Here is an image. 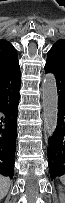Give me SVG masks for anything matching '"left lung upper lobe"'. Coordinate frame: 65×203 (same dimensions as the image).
Here are the masks:
<instances>
[{
  "instance_id": "1",
  "label": "left lung upper lobe",
  "mask_w": 65,
  "mask_h": 203,
  "mask_svg": "<svg viewBox=\"0 0 65 203\" xmlns=\"http://www.w3.org/2000/svg\"><path fill=\"white\" fill-rule=\"evenodd\" d=\"M55 45H63V46H65V40H60Z\"/></svg>"
}]
</instances>
